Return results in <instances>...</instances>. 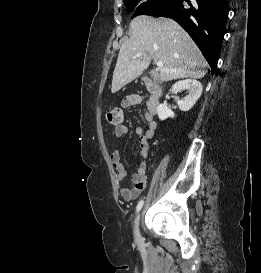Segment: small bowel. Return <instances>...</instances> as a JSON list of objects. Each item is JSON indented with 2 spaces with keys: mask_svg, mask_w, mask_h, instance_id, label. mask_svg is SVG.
<instances>
[{
  "mask_svg": "<svg viewBox=\"0 0 261 273\" xmlns=\"http://www.w3.org/2000/svg\"><path fill=\"white\" fill-rule=\"evenodd\" d=\"M144 96L139 94H132L124 98L122 101V106L124 108L133 107L140 104L144 100ZM158 106V105H157ZM157 106L153 107L151 104V99L146 101V111L145 120L147 122V127L144 129L142 127L135 128V135L138 138L139 144V156L141 158V163L139 164L136 172L131 176V181L133 183L132 188L120 187V195L124 200L131 201L139 197V195L146 188V176H147V165L146 159L149 154V141L154 137L157 129V124L155 122V115L157 111ZM128 128L124 124L115 126L114 128V138L117 142L121 141L127 134ZM113 168L116 174V179L120 183L126 177V170L121 162L120 150L116 149L110 156Z\"/></svg>",
  "mask_w": 261,
  "mask_h": 273,
  "instance_id": "1",
  "label": "small bowel"
}]
</instances>
